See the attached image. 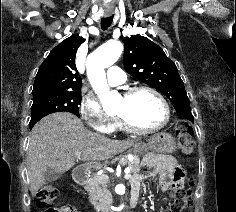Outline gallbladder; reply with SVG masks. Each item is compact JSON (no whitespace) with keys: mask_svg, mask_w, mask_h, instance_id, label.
<instances>
[{"mask_svg":"<svg viewBox=\"0 0 236 212\" xmlns=\"http://www.w3.org/2000/svg\"><path fill=\"white\" fill-rule=\"evenodd\" d=\"M61 177H62L61 173H58L51 168H46V170L43 172V178L46 181H55Z\"/></svg>","mask_w":236,"mask_h":212,"instance_id":"1","label":"gallbladder"}]
</instances>
